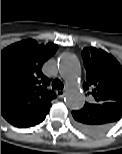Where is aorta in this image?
Returning <instances> with one entry per match:
<instances>
[{"instance_id":"1","label":"aorta","mask_w":122,"mask_h":154,"mask_svg":"<svg viewBox=\"0 0 122 154\" xmlns=\"http://www.w3.org/2000/svg\"><path fill=\"white\" fill-rule=\"evenodd\" d=\"M58 71L67 84L66 105L70 109H80L85 102L80 88V63L72 54H63L58 61Z\"/></svg>"}]
</instances>
